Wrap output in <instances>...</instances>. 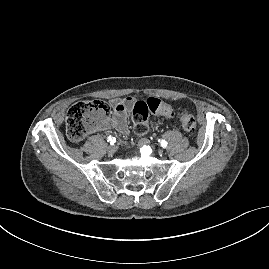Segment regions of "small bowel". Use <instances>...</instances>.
Masks as SVG:
<instances>
[{
	"label": "small bowel",
	"mask_w": 269,
	"mask_h": 269,
	"mask_svg": "<svg viewBox=\"0 0 269 269\" xmlns=\"http://www.w3.org/2000/svg\"><path fill=\"white\" fill-rule=\"evenodd\" d=\"M135 103V98L131 96L123 99H112L110 104L113 114L110 118L106 119L99 128L105 130L116 129L123 136L128 135L129 126L127 114L134 107Z\"/></svg>",
	"instance_id": "c3829d8e"
}]
</instances>
